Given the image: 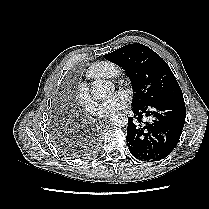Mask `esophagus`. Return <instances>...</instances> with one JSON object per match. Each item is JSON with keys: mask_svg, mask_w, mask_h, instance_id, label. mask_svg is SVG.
<instances>
[{"mask_svg": "<svg viewBox=\"0 0 209 209\" xmlns=\"http://www.w3.org/2000/svg\"><path fill=\"white\" fill-rule=\"evenodd\" d=\"M107 124H108V120H102V121H100V125L101 126H105Z\"/></svg>", "mask_w": 209, "mask_h": 209, "instance_id": "obj_1", "label": "esophagus"}]
</instances>
